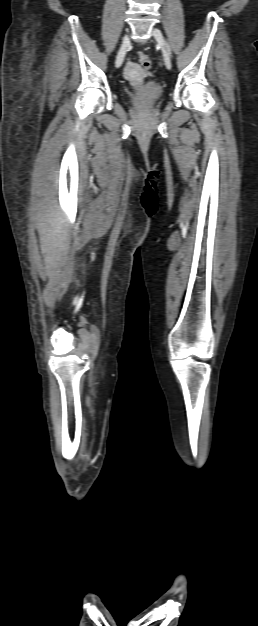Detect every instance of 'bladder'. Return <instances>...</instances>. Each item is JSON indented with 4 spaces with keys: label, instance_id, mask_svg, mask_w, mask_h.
I'll list each match as a JSON object with an SVG mask.
<instances>
[{
    "label": "bladder",
    "instance_id": "31cf9c89",
    "mask_svg": "<svg viewBox=\"0 0 258 626\" xmlns=\"http://www.w3.org/2000/svg\"><path fill=\"white\" fill-rule=\"evenodd\" d=\"M162 94V86L154 80H148L140 88L130 92L129 99L137 107H149L154 105Z\"/></svg>",
    "mask_w": 258,
    "mask_h": 626
}]
</instances>
